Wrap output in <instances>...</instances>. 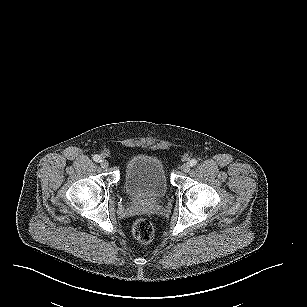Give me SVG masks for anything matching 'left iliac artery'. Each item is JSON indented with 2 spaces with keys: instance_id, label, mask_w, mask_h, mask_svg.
<instances>
[{
  "instance_id": "left-iliac-artery-1",
  "label": "left iliac artery",
  "mask_w": 307,
  "mask_h": 307,
  "mask_svg": "<svg viewBox=\"0 0 307 307\" xmlns=\"http://www.w3.org/2000/svg\"><path fill=\"white\" fill-rule=\"evenodd\" d=\"M197 164V160L196 159H192L190 160L189 162V165L192 167V166H195Z\"/></svg>"
}]
</instances>
